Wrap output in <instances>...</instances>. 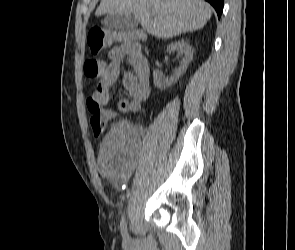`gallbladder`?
<instances>
[{
    "label": "gallbladder",
    "instance_id": "obj_1",
    "mask_svg": "<svg viewBox=\"0 0 295 250\" xmlns=\"http://www.w3.org/2000/svg\"><path fill=\"white\" fill-rule=\"evenodd\" d=\"M101 23L111 30H125L135 28L139 21L133 14H113L107 15Z\"/></svg>",
    "mask_w": 295,
    "mask_h": 250
}]
</instances>
